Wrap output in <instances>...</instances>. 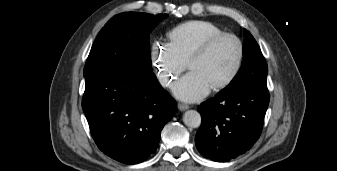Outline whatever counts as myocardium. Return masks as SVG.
Here are the masks:
<instances>
[{
    "label": "myocardium",
    "mask_w": 337,
    "mask_h": 171,
    "mask_svg": "<svg viewBox=\"0 0 337 171\" xmlns=\"http://www.w3.org/2000/svg\"><path fill=\"white\" fill-rule=\"evenodd\" d=\"M233 39L238 47V55L237 59L235 62V65L231 71V73L227 76L226 79H224L222 82L210 87L212 91H220L229 85H231L237 76L239 75L242 64H243V59H244V45L242 40L234 33H229V32H222L218 35H215L213 37L208 38L207 40L203 41L192 53L190 56L187 66L188 69L191 68L192 64L202 58L215 44H217L219 41L223 39Z\"/></svg>",
    "instance_id": "f54148a6"
}]
</instances>
